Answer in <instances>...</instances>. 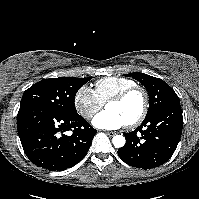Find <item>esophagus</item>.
I'll return each instance as SVG.
<instances>
[{"label": "esophagus", "mask_w": 199, "mask_h": 199, "mask_svg": "<svg viewBox=\"0 0 199 199\" xmlns=\"http://www.w3.org/2000/svg\"><path fill=\"white\" fill-rule=\"evenodd\" d=\"M105 133L108 135V136H110V137H112V136H114L116 133L115 132H113V131H105Z\"/></svg>", "instance_id": "1"}]
</instances>
